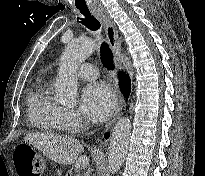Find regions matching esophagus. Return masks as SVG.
<instances>
[{
	"mask_svg": "<svg viewBox=\"0 0 205 176\" xmlns=\"http://www.w3.org/2000/svg\"><path fill=\"white\" fill-rule=\"evenodd\" d=\"M93 14L102 22L104 26L108 44L114 55V64L116 69L122 70L123 66L121 63V45L117 34L116 26L113 20L109 16L107 10L102 6L95 8L93 10ZM123 105H124V96L121 92H119L118 103H117L115 113L112 116L111 120L106 124L105 130H108L117 121V119L119 118L122 112Z\"/></svg>",
	"mask_w": 205,
	"mask_h": 176,
	"instance_id": "esophagus-1",
	"label": "esophagus"
}]
</instances>
